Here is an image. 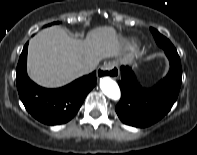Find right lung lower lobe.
<instances>
[{
  "label": "right lung lower lobe",
  "mask_w": 197,
  "mask_h": 155,
  "mask_svg": "<svg viewBox=\"0 0 197 155\" xmlns=\"http://www.w3.org/2000/svg\"><path fill=\"white\" fill-rule=\"evenodd\" d=\"M28 43L23 48L16 69V83L26 110L47 125L63 124L71 120L85 97L96 85V72L85 75L57 89H47L32 82L26 71Z\"/></svg>",
  "instance_id": "98d812e1"
}]
</instances>
